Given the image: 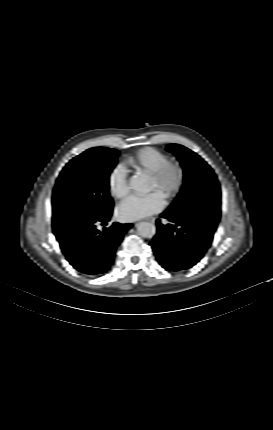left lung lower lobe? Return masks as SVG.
Returning a JSON list of instances; mask_svg holds the SVG:
<instances>
[{
    "label": "left lung lower lobe",
    "mask_w": 273,
    "mask_h": 430,
    "mask_svg": "<svg viewBox=\"0 0 273 430\" xmlns=\"http://www.w3.org/2000/svg\"><path fill=\"white\" fill-rule=\"evenodd\" d=\"M187 202L183 213L167 209L157 220V234L151 244L159 263L169 271H180L194 266L208 250L220 220V197L203 194Z\"/></svg>",
    "instance_id": "left-lung-lower-lobe-1"
}]
</instances>
